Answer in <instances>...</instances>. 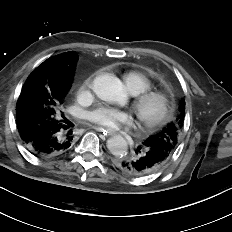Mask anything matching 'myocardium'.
Here are the masks:
<instances>
[{"label":"myocardium","instance_id":"obj_1","mask_svg":"<svg viewBox=\"0 0 232 232\" xmlns=\"http://www.w3.org/2000/svg\"><path fill=\"white\" fill-rule=\"evenodd\" d=\"M153 101L159 103V108L153 115L147 116L145 108ZM139 125L145 130H151L164 123L170 112L171 96L158 89H149L138 94L131 104Z\"/></svg>","mask_w":232,"mask_h":232}]
</instances>
